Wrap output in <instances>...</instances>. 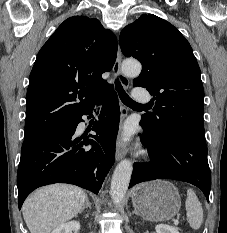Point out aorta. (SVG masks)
<instances>
[{
    "instance_id": "762f6f07",
    "label": "aorta",
    "mask_w": 227,
    "mask_h": 233,
    "mask_svg": "<svg viewBox=\"0 0 227 233\" xmlns=\"http://www.w3.org/2000/svg\"><path fill=\"white\" fill-rule=\"evenodd\" d=\"M122 72L130 77L138 76L141 72L142 66L136 60H126L122 63ZM133 171L132 163L125 159L122 160L115 168L111 180V197L116 205H119L127 192L131 174Z\"/></svg>"
}]
</instances>
